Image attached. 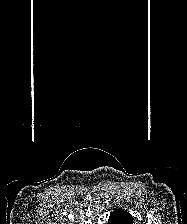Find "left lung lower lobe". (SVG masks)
Listing matches in <instances>:
<instances>
[{
  "label": "left lung lower lobe",
  "instance_id": "1",
  "mask_svg": "<svg viewBox=\"0 0 187 224\" xmlns=\"http://www.w3.org/2000/svg\"><path fill=\"white\" fill-rule=\"evenodd\" d=\"M110 224H133V217L122 208H116L109 218Z\"/></svg>",
  "mask_w": 187,
  "mask_h": 224
}]
</instances>
